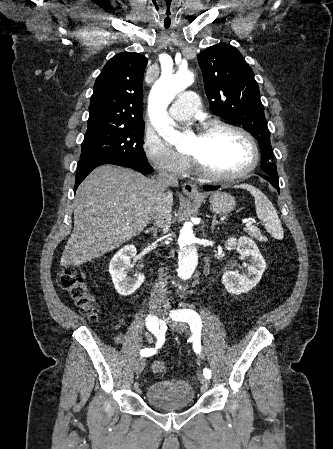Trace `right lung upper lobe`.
<instances>
[{"mask_svg": "<svg viewBox=\"0 0 333 449\" xmlns=\"http://www.w3.org/2000/svg\"><path fill=\"white\" fill-rule=\"evenodd\" d=\"M148 59L123 52L104 66L94 84L88 127L142 123V82Z\"/></svg>", "mask_w": 333, "mask_h": 449, "instance_id": "obj_1", "label": "right lung upper lobe"}]
</instances>
